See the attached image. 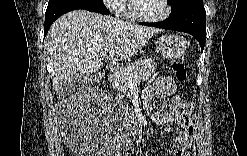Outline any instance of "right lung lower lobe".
<instances>
[{
	"label": "right lung lower lobe",
	"mask_w": 247,
	"mask_h": 156,
	"mask_svg": "<svg viewBox=\"0 0 247 156\" xmlns=\"http://www.w3.org/2000/svg\"><path fill=\"white\" fill-rule=\"evenodd\" d=\"M78 9H84L105 15L109 14V10L106 8V6L103 3H82V4L62 3L56 5L46 10L44 36L47 34L50 26L57 18H59L61 15L69 11L78 10Z\"/></svg>",
	"instance_id": "obj_1"
}]
</instances>
